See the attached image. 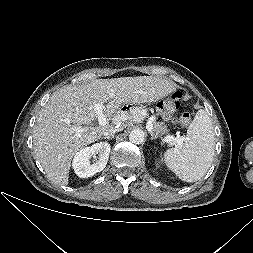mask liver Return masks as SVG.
<instances>
[{
    "mask_svg": "<svg viewBox=\"0 0 253 253\" xmlns=\"http://www.w3.org/2000/svg\"><path fill=\"white\" fill-rule=\"evenodd\" d=\"M176 84L155 76L97 79L81 85H67L54 92L41 109L33 131L35 156L48 178L67 185L72 158L83 147L97 141L105 132L126 127L125 121L141 122L146 112L139 108L123 111L125 104H143L176 91ZM103 104L104 126H93V106ZM123 119L115 120L116 116ZM81 129L80 132L77 130Z\"/></svg>",
    "mask_w": 253,
    "mask_h": 253,
    "instance_id": "liver-1",
    "label": "liver"
}]
</instances>
